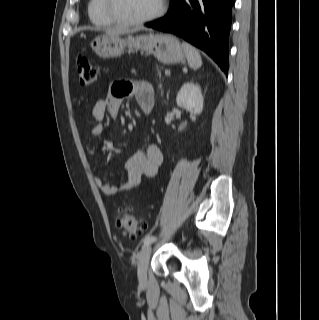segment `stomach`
I'll return each instance as SVG.
<instances>
[{"label": "stomach", "instance_id": "obj_1", "mask_svg": "<svg viewBox=\"0 0 319 320\" xmlns=\"http://www.w3.org/2000/svg\"><path fill=\"white\" fill-rule=\"evenodd\" d=\"M92 50L102 58L120 56L125 48L152 53L161 63L177 64L185 61V52L178 39L170 34H147L123 38L121 34L97 36L91 43Z\"/></svg>", "mask_w": 319, "mask_h": 320}]
</instances>
